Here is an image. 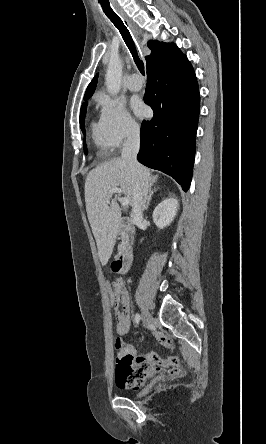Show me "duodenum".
<instances>
[{"mask_svg": "<svg viewBox=\"0 0 266 444\" xmlns=\"http://www.w3.org/2000/svg\"><path fill=\"white\" fill-rule=\"evenodd\" d=\"M124 222V220H123ZM133 260V251L129 239L123 244L114 264L116 270L122 274H127L130 271Z\"/></svg>", "mask_w": 266, "mask_h": 444, "instance_id": "duodenum-1", "label": "duodenum"}]
</instances>
